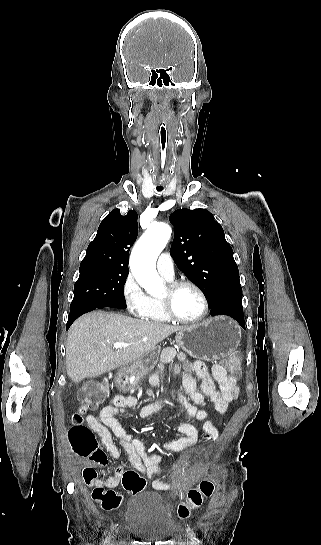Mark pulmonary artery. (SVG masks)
Masks as SVG:
<instances>
[{
  "mask_svg": "<svg viewBox=\"0 0 321 545\" xmlns=\"http://www.w3.org/2000/svg\"><path fill=\"white\" fill-rule=\"evenodd\" d=\"M157 269L162 277L171 280L174 277V262L168 252H163L157 260Z\"/></svg>",
  "mask_w": 321,
  "mask_h": 545,
  "instance_id": "1",
  "label": "pulmonary artery"
}]
</instances>
